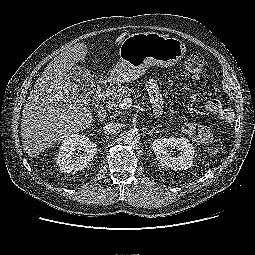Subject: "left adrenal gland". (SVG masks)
Wrapping results in <instances>:
<instances>
[{"label":"left adrenal gland","instance_id":"a2214340","mask_svg":"<svg viewBox=\"0 0 255 255\" xmlns=\"http://www.w3.org/2000/svg\"><path fill=\"white\" fill-rule=\"evenodd\" d=\"M158 127H159V126L153 127L152 130L148 131V134H152V132H153L155 129H157Z\"/></svg>","mask_w":255,"mask_h":255}]
</instances>
